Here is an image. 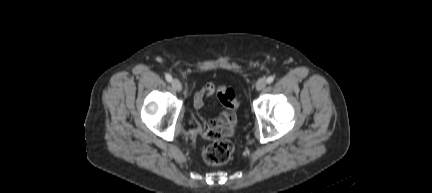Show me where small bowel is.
Segmentation results:
<instances>
[{"instance_id":"1","label":"small bowel","mask_w":432,"mask_h":193,"mask_svg":"<svg viewBox=\"0 0 432 193\" xmlns=\"http://www.w3.org/2000/svg\"><path fill=\"white\" fill-rule=\"evenodd\" d=\"M216 91L213 83H206L194 95V107L200 110L204 106L205 98L211 97ZM237 117L232 111L225 110L219 117L203 122L202 134L208 139L225 138L235 132Z\"/></svg>"}]
</instances>
